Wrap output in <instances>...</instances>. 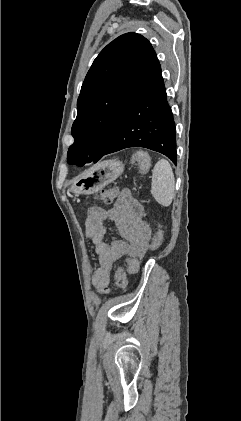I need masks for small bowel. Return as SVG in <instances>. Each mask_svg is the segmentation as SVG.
Masks as SVG:
<instances>
[{
    "instance_id": "small-bowel-1",
    "label": "small bowel",
    "mask_w": 241,
    "mask_h": 421,
    "mask_svg": "<svg viewBox=\"0 0 241 421\" xmlns=\"http://www.w3.org/2000/svg\"><path fill=\"white\" fill-rule=\"evenodd\" d=\"M143 206L123 189L111 209L91 207L88 210L85 231L99 257L100 267L92 281L99 293L108 294L111 272L116 261L122 257L141 259L147 252L151 235L149 225L143 220ZM113 223L121 238L111 243L104 241L106 223Z\"/></svg>"
}]
</instances>
